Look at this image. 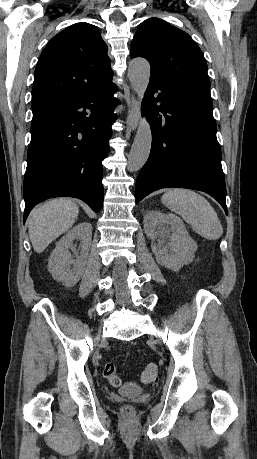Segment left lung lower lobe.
Returning <instances> with one entry per match:
<instances>
[{"label":"left lung lower lobe","instance_id":"left-lung-lower-lobe-1","mask_svg":"<svg viewBox=\"0 0 257 459\" xmlns=\"http://www.w3.org/2000/svg\"><path fill=\"white\" fill-rule=\"evenodd\" d=\"M143 111L151 124L152 146L136 181V204L161 188H188L208 193L227 213L209 86L150 80Z\"/></svg>","mask_w":257,"mask_h":459}]
</instances>
